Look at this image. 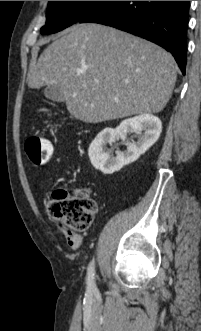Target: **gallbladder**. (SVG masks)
<instances>
[{
  "label": "gallbladder",
  "mask_w": 201,
  "mask_h": 331,
  "mask_svg": "<svg viewBox=\"0 0 201 331\" xmlns=\"http://www.w3.org/2000/svg\"><path fill=\"white\" fill-rule=\"evenodd\" d=\"M44 95L46 98L55 102H64L65 96L58 85H51L45 88Z\"/></svg>",
  "instance_id": "1"
}]
</instances>
